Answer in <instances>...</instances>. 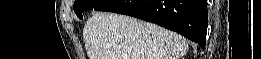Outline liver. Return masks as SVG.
Returning <instances> with one entry per match:
<instances>
[{
    "instance_id": "1",
    "label": "liver",
    "mask_w": 261,
    "mask_h": 59,
    "mask_svg": "<svg viewBox=\"0 0 261 59\" xmlns=\"http://www.w3.org/2000/svg\"><path fill=\"white\" fill-rule=\"evenodd\" d=\"M89 59H180L185 38L136 18L97 12L83 28Z\"/></svg>"
}]
</instances>
